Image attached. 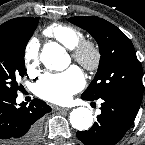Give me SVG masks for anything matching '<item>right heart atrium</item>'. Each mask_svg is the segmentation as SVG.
<instances>
[{"label":"right heart atrium","instance_id":"d8ad5b80","mask_svg":"<svg viewBox=\"0 0 145 145\" xmlns=\"http://www.w3.org/2000/svg\"><path fill=\"white\" fill-rule=\"evenodd\" d=\"M24 61L28 70H34L39 62V42L33 38L31 39L24 50Z\"/></svg>","mask_w":145,"mask_h":145}]
</instances>
